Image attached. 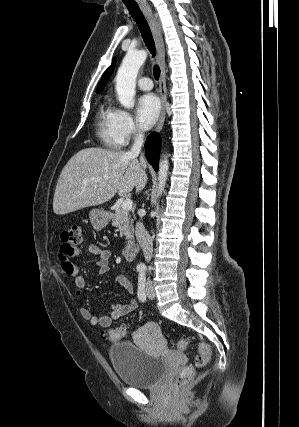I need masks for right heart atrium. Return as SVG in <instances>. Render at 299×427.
Here are the masks:
<instances>
[{
    "instance_id": "obj_1",
    "label": "right heart atrium",
    "mask_w": 299,
    "mask_h": 427,
    "mask_svg": "<svg viewBox=\"0 0 299 427\" xmlns=\"http://www.w3.org/2000/svg\"><path fill=\"white\" fill-rule=\"evenodd\" d=\"M115 131L120 145H126L131 139L141 135V129L134 118L124 109H116Z\"/></svg>"
}]
</instances>
